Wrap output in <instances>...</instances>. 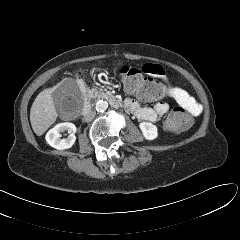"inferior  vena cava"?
<instances>
[{"label":"inferior vena cava","instance_id":"obj_1","mask_svg":"<svg viewBox=\"0 0 240 240\" xmlns=\"http://www.w3.org/2000/svg\"><path fill=\"white\" fill-rule=\"evenodd\" d=\"M95 111L93 110H89L84 114V121L85 122H90L91 120H93V118L95 117Z\"/></svg>","mask_w":240,"mask_h":240}]
</instances>
